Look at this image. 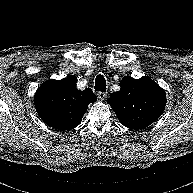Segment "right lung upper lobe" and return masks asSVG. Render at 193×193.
<instances>
[{
    "instance_id": "obj_1",
    "label": "right lung upper lobe",
    "mask_w": 193,
    "mask_h": 193,
    "mask_svg": "<svg viewBox=\"0 0 193 193\" xmlns=\"http://www.w3.org/2000/svg\"><path fill=\"white\" fill-rule=\"evenodd\" d=\"M76 83L75 76L48 80L35 93L34 104L39 117L54 129L65 131L78 126L89 103L97 100L90 88L80 91Z\"/></svg>"
}]
</instances>
